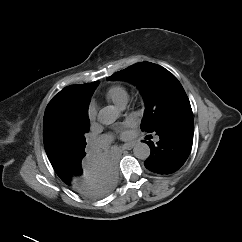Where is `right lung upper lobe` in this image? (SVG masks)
Wrapping results in <instances>:
<instances>
[{
  "mask_svg": "<svg viewBox=\"0 0 242 242\" xmlns=\"http://www.w3.org/2000/svg\"><path fill=\"white\" fill-rule=\"evenodd\" d=\"M99 81L64 88L47 105L43 120V139L47 157L55 172L72 165L80 156L63 147L69 133L86 125L88 104Z\"/></svg>",
  "mask_w": 242,
  "mask_h": 242,
  "instance_id": "1",
  "label": "right lung upper lobe"
}]
</instances>
